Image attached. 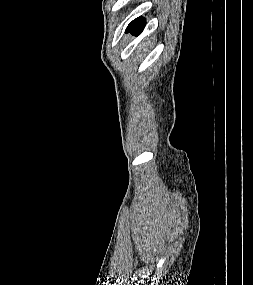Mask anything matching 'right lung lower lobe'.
I'll list each match as a JSON object with an SVG mask.
<instances>
[{
    "label": "right lung lower lobe",
    "instance_id": "98d812e1",
    "mask_svg": "<svg viewBox=\"0 0 253 285\" xmlns=\"http://www.w3.org/2000/svg\"><path fill=\"white\" fill-rule=\"evenodd\" d=\"M145 24L146 21L144 18H136L128 25L126 32H131L132 34L138 35L143 31Z\"/></svg>",
    "mask_w": 253,
    "mask_h": 285
}]
</instances>
